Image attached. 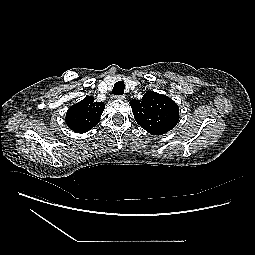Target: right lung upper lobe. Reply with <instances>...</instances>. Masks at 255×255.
Listing matches in <instances>:
<instances>
[{
  "instance_id": "obj_1",
  "label": "right lung upper lobe",
  "mask_w": 255,
  "mask_h": 255,
  "mask_svg": "<svg viewBox=\"0 0 255 255\" xmlns=\"http://www.w3.org/2000/svg\"><path fill=\"white\" fill-rule=\"evenodd\" d=\"M104 108L103 102H95L92 96H87L70 107L66 114V124L74 132L85 133L99 122Z\"/></svg>"
}]
</instances>
